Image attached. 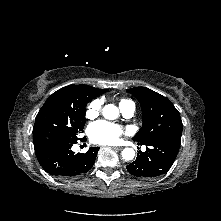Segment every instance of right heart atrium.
<instances>
[{
    "label": "right heart atrium",
    "instance_id": "1",
    "mask_svg": "<svg viewBox=\"0 0 221 221\" xmlns=\"http://www.w3.org/2000/svg\"><path fill=\"white\" fill-rule=\"evenodd\" d=\"M102 102L99 99L93 100L86 109V117L89 119L98 116Z\"/></svg>",
    "mask_w": 221,
    "mask_h": 221
}]
</instances>
